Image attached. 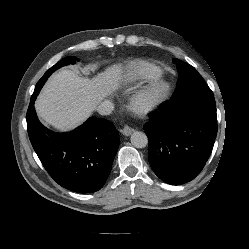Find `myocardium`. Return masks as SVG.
<instances>
[{
  "label": "myocardium",
  "mask_w": 249,
  "mask_h": 249,
  "mask_svg": "<svg viewBox=\"0 0 249 249\" xmlns=\"http://www.w3.org/2000/svg\"><path fill=\"white\" fill-rule=\"evenodd\" d=\"M169 91V83L161 77L150 80L133 95L131 106L138 113H146L163 103Z\"/></svg>",
  "instance_id": "myocardium-1"
}]
</instances>
